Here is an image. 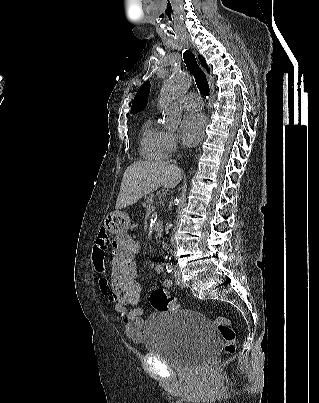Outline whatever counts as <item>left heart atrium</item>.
Returning <instances> with one entry per match:
<instances>
[{
    "label": "left heart atrium",
    "instance_id": "1",
    "mask_svg": "<svg viewBox=\"0 0 319 403\" xmlns=\"http://www.w3.org/2000/svg\"><path fill=\"white\" fill-rule=\"evenodd\" d=\"M207 126L206 117L201 113L187 114L181 123V137L187 146L196 145L204 135Z\"/></svg>",
    "mask_w": 319,
    "mask_h": 403
}]
</instances>
